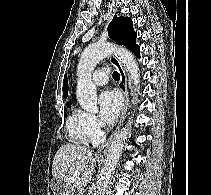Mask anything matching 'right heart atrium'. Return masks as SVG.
Instances as JSON below:
<instances>
[{
	"label": "right heart atrium",
	"mask_w": 211,
	"mask_h": 195,
	"mask_svg": "<svg viewBox=\"0 0 211 195\" xmlns=\"http://www.w3.org/2000/svg\"><path fill=\"white\" fill-rule=\"evenodd\" d=\"M84 128L88 138L96 141L101 134V126L97 117L93 114L83 112Z\"/></svg>",
	"instance_id": "right-heart-atrium-1"
}]
</instances>
